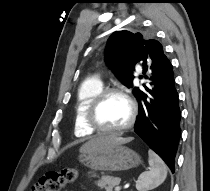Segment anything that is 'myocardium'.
<instances>
[{"label":"myocardium","mask_w":210,"mask_h":191,"mask_svg":"<svg viewBox=\"0 0 210 191\" xmlns=\"http://www.w3.org/2000/svg\"><path fill=\"white\" fill-rule=\"evenodd\" d=\"M110 95L122 96L128 102L129 107H130V116L127 123L118 128L103 127L97 119V112H98L99 106L101 105L103 100ZM136 117H137L136 102L125 90L118 87H110V88L102 89L92 99L85 114L86 123L91 129H93L94 131L102 132L106 134H119L130 129L134 125L136 121Z\"/></svg>","instance_id":"1"}]
</instances>
